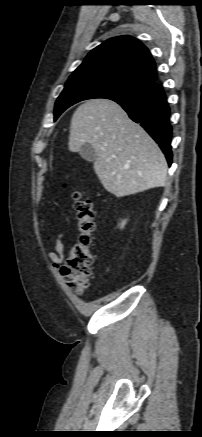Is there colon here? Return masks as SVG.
<instances>
[{
    "mask_svg": "<svg viewBox=\"0 0 202 437\" xmlns=\"http://www.w3.org/2000/svg\"><path fill=\"white\" fill-rule=\"evenodd\" d=\"M77 219V238L70 245L64 264L60 268L65 284L77 294L89 285L94 256L93 233L95 230L93 204L85 191L74 189L72 193Z\"/></svg>",
    "mask_w": 202,
    "mask_h": 437,
    "instance_id": "1",
    "label": "colon"
}]
</instances>
